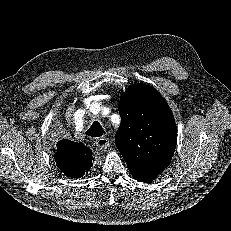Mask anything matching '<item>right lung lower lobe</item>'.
I'll return each instance as SVG.
<instances>
[{
  "label": "right lung lower lobe",
  "instance_id": "1",
  "mask_svg": "<svg viewBox=\"0 0 231 231\" xmlns=\"http://www.w3.org/2000/svg\"><path fill=\"white\" fill-rule=\"evenodd\" d=\"M69 143H71L72 145H75V147H83V148H86V149H89L88 147H85L83 144H81L80 146H79V144L78 143H75V142H73V141H70V140H67ZM90 150V149H89Z\"/></svg>",
  "mask_w": 231,
  "mask_h": 231
}]
</instances>
